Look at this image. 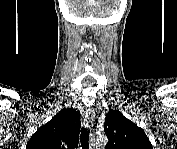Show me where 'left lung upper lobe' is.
Segmentation results:
<instances>
[{
    "mask_svg": "<svg viewBox=\"0 0 177 149\" xmlns=\"http://www.w3.org/2000/svg\"><path fill=\"white\" fill-rule=\"evenodd\" d=\"M104 131L108 137L106 149H152L143 129L118 110L106 114Z\"/></svg>",
    "mask_w": 177,
    "mask_h": 149,
    "instance_id": "1",
    "label": "left lung upper lobe"
}]
</instances>
